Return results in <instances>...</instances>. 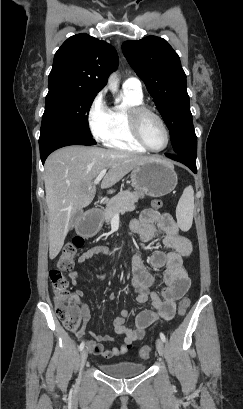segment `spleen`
Instances as JSON below:
<instances>
[{"label": "spleen", "instance_id": "spleen-1", "mask_svg": "<svg viewBox=\"0 0 243 409\" xmlns=\"http://www.w3.org/2000/svg\"><path fill=\"white\" fill-rule=\"evenodd\" d=\"M194 214V190L191 185L186 187L179 199L176 208V218L179 227L183 231H188L193 222Z\"/></svg>", "mask_w": 243, "mask_h": 409}]
</instances>
